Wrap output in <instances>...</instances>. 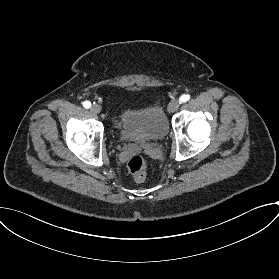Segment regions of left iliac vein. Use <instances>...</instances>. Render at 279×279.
Returning a JSON list of instances; mask_svg holds the SVG:
<instances>
[{"label":"left iliac vein","instance_id":"4c4485c4","mask_svg":"<svg viewBox=\"0 0 279 279\" xmlns=\"http://www.w3.org/2000/svg\"><path fill=\"white\" fill-rule=\"evenodd\" d=\"M180 106V102L178 100H172L168 105V111L170 113H174Z\"/></svg>","mask_w":279,"mask_h":279}]
</instances>
